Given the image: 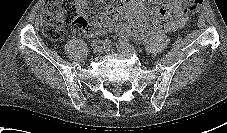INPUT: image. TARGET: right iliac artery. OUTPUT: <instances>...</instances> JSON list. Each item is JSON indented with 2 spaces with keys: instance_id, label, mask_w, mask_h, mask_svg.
Here are the masks:
<instances>
[{
  "instance_id": "right-iliac-artery-1",
  "label": "right iliac artery",
  "mask_w": 227,
  "mask_h": 133,
  "mask_svg": "<svg viewBox=\"0 0 227 133\" xmlns=\"http://www.w3.org/2000/svg\"><path fill=\"white\" fill-rule=\"evenodd\" d=\"M110 45H111V41H110V40H108V39H106V40L103 42V46H104V48H109V47H110Z\"/></svg>"
}]
</instances>
